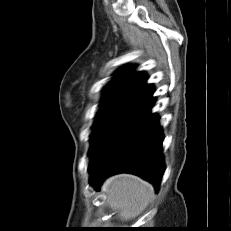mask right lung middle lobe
<instances>
[{
    "label": "right lung middle lobe",
    "instance_id": "right-lung-middle-lobe-1",
    "mask_svg": "<svg viewBox=\"0 0 231 231\" xmlns=\"http://www.w3.org/2000/svg\"><path fill=\"white\" fill-rule=\"evenodd\" d=\"M152 106L130 98L102 99L91 135V159L113 136Z\"/></svg>",
    "mask_w": 231,
    "mask_h": 231
}]
</instances>
